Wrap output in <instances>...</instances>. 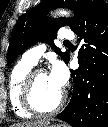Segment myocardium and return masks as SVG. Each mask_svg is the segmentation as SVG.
I'll list each match as a JSON object with an SVG mask.
<instances>
[{"mask_svg": "<svg viewBox=\"0 0 108 127\" xmlns=\"http://www.w3.org/2000/svg\"><path fill=\"white\" fill-rule=\"evenodd\" d=\"M40 74H47L43 68L32 69L26 76L21 88V102L23 107L35 115H51L58 112L66 101V93L62 92L57 103L50 109H41L34 100V86L37 77Z\"/></svg>", "mask_w": 108, "mask_h": 127, "instance_id": "f54148a6", "label": "myocardium"}]
</instances>
